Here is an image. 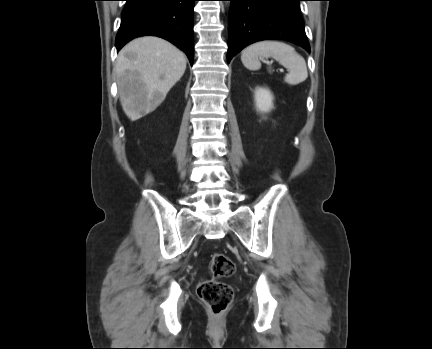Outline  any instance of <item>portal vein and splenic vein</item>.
I'll return each instance as SVG.
<instances>
[{"label":"portal vein and splenic vein","mask_w":432,"mask_h":349,"mask_svg":"<svg viewBox=\"0 0 432 349\" xmlns=\"http://www.w3.org/2000/svg\"><path fill=\"white\" fill-rule=\"evenodd\" d=\"M266 62H267L268 64H270V63H271V62H269V61H266ZM280 71H281V72H283L284 70H283V69H280Z\"/></svg>","instance_id":"18ae733b"}]
</instances>
